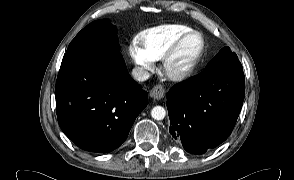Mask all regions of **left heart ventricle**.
<instances>
[{"label":"left heart ventricle","mask_w":294,"mask_h":180,"mask_svg":"<svg viewBox=\"0 0 294 180\" xmlns=\"http://www.w3.org/2000/svg\"><path fill=\"white\" fill-rule=\"evenodd\" d=\"M200 39L197 36H194L188 39L179 49L176 56L172 59L169 68L172 71H180L186 68L194 56L200 49Z\"/></svg>","instance_id":"b2bd125f"}]
</instances>
